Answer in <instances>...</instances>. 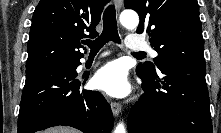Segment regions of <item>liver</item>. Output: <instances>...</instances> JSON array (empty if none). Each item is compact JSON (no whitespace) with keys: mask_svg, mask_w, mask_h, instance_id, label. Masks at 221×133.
<instances>
[{"mask_svg":"<svg viewBox=\"0 0 221 133\" xmlns=\"http://www.w3.org/2000/svg\"><path fill=\"white\" fill-rule=\"evenodd\" d=\"M45 133H79L75 129L68 127H54L45 131Z\"/></svg>","mask_w":221,"mask_h":133,"instance_id":"obj_1","label":"liver"}]
</instances>
